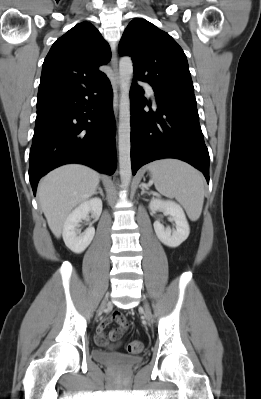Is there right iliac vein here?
I'll return each mask as SVG.
<instances>
[{"label":"right iliac vein","instance_id":"1","mask_svg":"<svg viewBox=\"0 0 261 399\" xmlns=\"http://www.w3.org/2000/svg\"><path fill=\"white\" fill-rule=\"evenodd\" d=\"M107 302H108L107 300H104V302L101 305L100 312L106 307Z\"/></svg>","mask_w":261,"mask_h":399}]
</instances>
